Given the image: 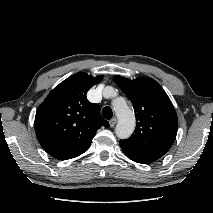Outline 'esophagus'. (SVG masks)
<instances>
[{
  "instance_id": "obj_1",
  "label": "esophagus",
  "mask_w": 213,
  "mask_h": 213,
  "mask_svg": "<svg viewBox=\"0 0 213 213\" xmlns=\"http://www.w3.org/2000/svg\"><path fill=\"white\" fill-rule=\"evenodd\" d=\"M117 122V119L116 118H112L110 121H109V124H110V127H114L115 124Z\"/></svg>"
}]
</instances>
